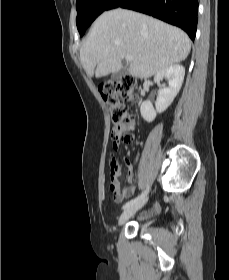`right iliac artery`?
I'll use <instances>...</instances> for the list:
<instances>
[{"mask_svg":"<svg viewBox=\"0 0 229 280\" xmlns=\"http://www.w3.org/2000/svg\"><path fill=\"white\" fill-rule=\"evenodd\" d=\"M149 189H150V186H147V188L138 197H136V198L128 201L127 203H125L123 205L122 209L125 210V209L129 208L130 206H132V205L138 203L139 201L143 200L147 196V194L149 192Z\"/></svg>","mask_w":229,"mask_h":280,"instance_id":"82829eb1","label":"right iliac artery"}]
</instances>
